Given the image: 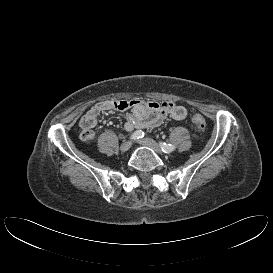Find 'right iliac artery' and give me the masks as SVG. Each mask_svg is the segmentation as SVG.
Listing matches in <instances>:
<instances>
[{
    "label": "right iliac artery",
    "instance_id": "82829eb1",
    "mask_svg": "<svg viewBox=\"0 0 273 273\" xmlns=\"http://www.w3.org/2000/svg\"><path fill=\"white\" fill-rule=\"evenodd\" d=\"M143 137H144V132L141 130H137L130 136V139L131 140H139Z\"/></svg>",
    "mask_w": 273,
    "mask_h": 273
}]
</instances>
